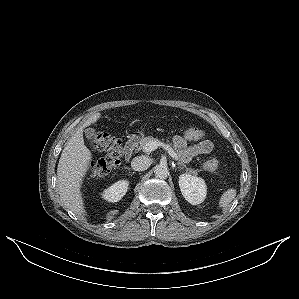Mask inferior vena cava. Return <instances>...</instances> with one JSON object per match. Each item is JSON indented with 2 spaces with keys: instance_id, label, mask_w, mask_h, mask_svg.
I'll list each match as a JSON object with an SVG mask.
<instances>
[{
  "instance_id": "obj_1",
  "label": "inferior vena cava",
  "mask_w": 299,
  "mask_h": 299,
  "mask_svg": "<svg viewBox=\"0 0 299 299\" xmlns=\"http://www.w3.org/2000/svg\"><path fill=\"white\" fill-rule=\"evenodd\" d=\"M150 166V161L145 156L135 157L131 162V167L134 171H144Z\"/></svg>"
}]
</instances>
